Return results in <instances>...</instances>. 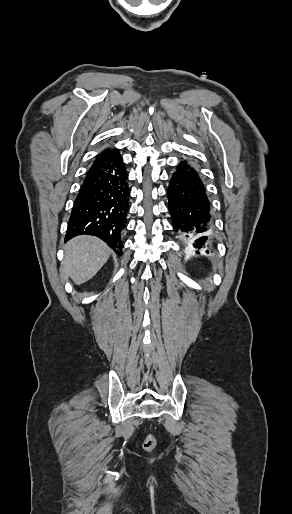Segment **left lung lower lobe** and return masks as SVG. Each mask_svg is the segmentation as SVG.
I'll return each mask as SVG.
<instances>
[{
    "label": "left lung lower lobe",
    "instance_id": "left-lung-lower-lobe-1",
    "mask_svg": "<svg viewBox=\"0 0 292 514\" xmlns=\"http://www.w3.org/2000/svg\"><path fill=\"white\" fill-rule=\"evenodd\" d=\"M167 195L172 224L181 241L198 249L212 246L211 204L198 171L186 160L172 174Z\"/></svg>",
    "mask_w": 292,
    "mask_h": 514
}]
</instances>
